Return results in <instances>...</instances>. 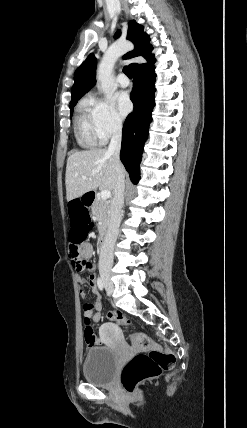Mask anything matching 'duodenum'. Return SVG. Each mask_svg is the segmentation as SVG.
I'll use <instances>...</instances> for the list:
<instances>
[{
	"instance_id": "duodenum-1",
	"label": "duodenum",
	"mask_w": 247,
	"mask_h": 428,
	"mask_svg": "<svg viewBox=\"0 0 247 428\" xmlns=\"http://www.w3.org/2000/svg\"><path fill=\"white\" fill-rule=\"evenodd\" d=\"M93 200H94V193H92V192L86 193V195H85V204H90L91 205L92 202H93ZM106 242H107V231L105 230L101 234V236L99 238V241H98V248H99L100 251H103L105 249Z\"/></svg>"
}]
</instances>
